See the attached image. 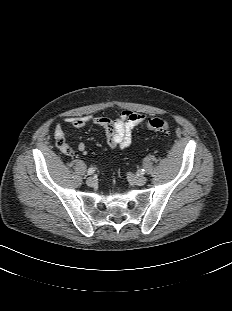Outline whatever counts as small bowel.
Segmentation results:
<instances>
[{
	"label": "small bowel",
	"instance_id": "c3829d8e",
	"mask_svg": "<svg viewBox=\"0 0 232 311\" xmlns=\"http://www.w3.org/2000/svg\"><path fill=\"white\" fill-rule=\"evenodd\" d=\"M145 118V115L142 113L125 110L114 120L107 117L83 116L68 117L65 119V122L74 128H82L87 124L100 126L105 130L106 141L110 148L124 149L127 148L132 142L133 130L142 124ZM54 136L60 151L71 155L73 151L66 143V136L60 124L55 126ZM85 149V144L79 143L78 150L80 152H84Z\"/></svg>",
	"mask_w": 232,
	"mask_h": 311
}]
</instances>
